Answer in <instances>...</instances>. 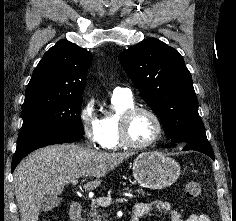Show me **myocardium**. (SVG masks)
Masks as SVG:
<instances>
[{
  "mask_svg": "<svg viewBox=\"0 0 236 221\" xmlns=\"http://www.w3.org/2000/svg\"><path fill=\"white\" fill-rule=\"evenodd\" d=\"M138 113H146L150 115L156 123V134L147 143L139 144L134 142L129 135V126L132 118ZM164 132L163 123L159 115L151 108L146 106H132L126 109L119 119V138L123 146L132 149H147L155 145L162 137Z\"/></svg>",
  "mask_w": 236,
  "mask_h": 221,
  "instance_id": "myocardium-1",
  "label": "myocardium"
}]
</instances>
